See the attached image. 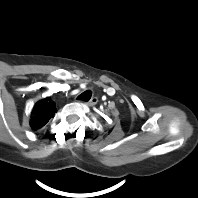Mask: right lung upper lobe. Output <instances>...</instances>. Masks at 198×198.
Segmentation results:
<instances>
[{
    "label": "right lung upper lobe",
    "instance_id": "obj_1",
    "mask_svg": "<svg viewBox=\"0 0 198 198\" xmlns=\"http://www.w3.org/2000/svg\"><path fill=\"white\" fill-rule=\"evenodd\" d=\"M56 112V105L50 97L38 101L31 112V128L33 130L42 128Z\"/></svg>",
    "mask_w": 198,
    "mask_h": 198
}]
</instances>
